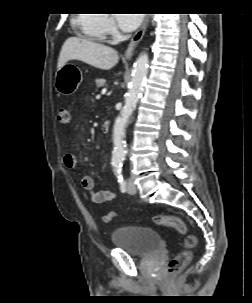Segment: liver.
<instances>
[{"label": "liver", "mask_w": 252, "mask_h": 303, "mask_svg": "<svg viewBox=\"0 0 252 303\" xmlns=\"http://www.w3.org/2000/svg\"><path fill=\"white\" fill-rule=\"evenodd\" d=\"M70 60H79L93 67L109 70L119 60L113 48L80 37L68 38L60 51L57 68L60 69Z\"/></svg>", "instance_id": "obj_1"}]
</instances>
